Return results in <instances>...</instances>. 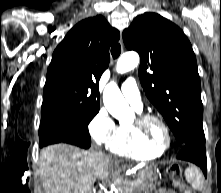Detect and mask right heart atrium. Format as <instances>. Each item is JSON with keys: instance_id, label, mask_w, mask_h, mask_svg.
<instances>
[{"instance_id": "d8ad5b80", "label": "right heart atrium", "mask_w": 221, "mask_h": 193, "mask_svg": "<svg viewBox=\"0 0 221 193\" xmlns=\"http://www.w3.org/2000/svg\"><path fill=\"white\" fill-rule=\"evenodd\" d=\"M88 130L97 145L109 147L117 136L119 126L110 113L101 108L90 121Z\"/></svg>"}]
</instances>
